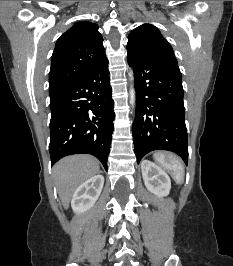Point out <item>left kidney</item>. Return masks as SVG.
Here are the masks:
<instances>
[{"label": "left kidney", "instance_id": "5707ae66", "mask_svg": "<svg viewBox=\"0 0 233 266\" xmlns=\"http://www.w3.org/2000/svg\"><path fill=\"white\" fill-rule=\"evenodd\" d=\"M142 176L146 188L158 197L167 196L171 189V181L167 173L151 161L141 163Z\"/></svg>", "mask_w": 233, "mask_h": 266}]
</instances>
